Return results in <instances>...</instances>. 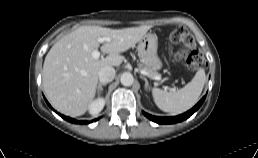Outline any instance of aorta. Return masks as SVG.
Segmentation results:
<instances>
[{
  "instance_id": "1",
  "label": "aorta",
  "mask_w": 258,
  "mask_h": 158,
  "mask_svg": "<svg viewBox=\"0 0 258 158\" xmlns=\"http://www.w3.org/2000/svg\"><path fill=\"white\" fill-rule=\"evenodd\" d=\"M120 81L124 86H131L134 82V78L131 73L125 72L121 75Z\"/></svg>"
}]
</instances>
